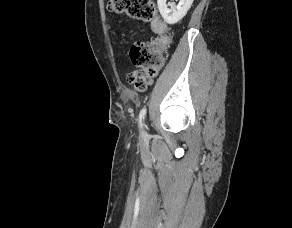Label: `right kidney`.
I'll return each mask as SVG.
<instances>
[{
    "instance_id": "obj_1",
    "label": "right kidney",
    "mask_w": 292,
    "mask_h": 228,
    "mask_svg": "<svg viewBox=\"0 0 292 228\" xmlns=\"http://www.w3.org/2000/svg\"><path fill=\"white\" fill-rule=\"evenodd\" d=\"M167 0H157L158 9L164 21L170 25L179 22L188 12L194 0H180L176 7L168 8Z\"/></svg>"
}]
</instances>
